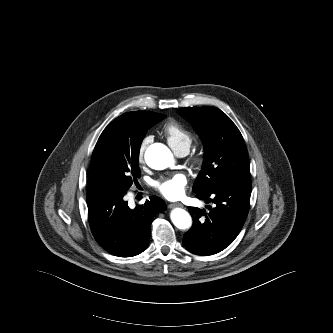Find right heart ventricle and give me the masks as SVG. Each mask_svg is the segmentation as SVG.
<instances>
[{"label": "right heart ventricle", "mask_w": 333, "mask_h": 333, "mask_svg": "<svg viewBox=\"0 0 333 333\" xmlns=\"http://www.w3.org/2000/svg\"><path fill=\"white\" fill-rule=\"evenodd\" d=\"M163 132L168 143L176 153L181 150L189 151L194 137L184 125L171 120L164 125Z\"/></svg>", "instance_id": "obj_1"}]
</instances>
